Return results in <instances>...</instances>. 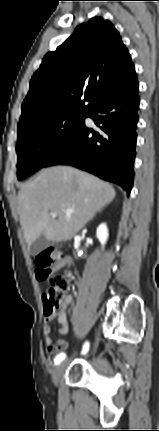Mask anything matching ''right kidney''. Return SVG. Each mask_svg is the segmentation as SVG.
I'll use <instances>...</instances> for the list:
<instances>
[{
    "label": "right kidney",
    "mask_w": 159,
    "mask_h": 431,
    "mask_svg": "<svg viewBox=\"0 0 159 431\" xmlns=\"http://www.w3.org/2000/svg\"><path fill=\"white\" fill-rule=\"evenodd\" d=\"M96 236L100 241L101 245L104 246L108 239V229L105 223L98 226Z\"/></svg>",
    "instance_id": "1"
}]
</instances>
